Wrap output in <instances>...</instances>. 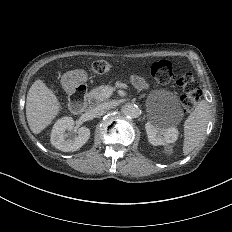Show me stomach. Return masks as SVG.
<instances>
[{
	"instance_id": "1",
	"label": "stomach",
	"mask_w": 232,
	"mask_h": 232,
	"mask_svg": "<svg viewBox=\"0 0 232 232\" xmlns=\"http://www.w3.org/2000/svg\"><path fill=\"white\" fill-rule=\"evenodd\" d=\"M78 78H79V79H78L79 82L84 81V80H83V73H81L80 75H78Z\"/></svg>"
}]
</instances>
